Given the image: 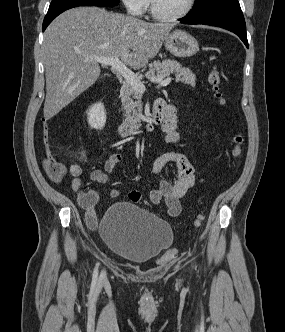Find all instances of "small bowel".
<instances>
[{"instance_id":"1","label":"small bowel","mask_w":285,"mask_h":332,"mask_svg":"<svg viewBox=\"0 0 285 332\" xmlns=\"http://www.w3.org/2000/svg\"><path fill=\"white\" fill-rule=\"evenodd\" d=\"M176 117L172 107H169V116L162 124V130L165 133V139L169 143H178L180 135L176 131ZM122 161L120 154L111 155L105 162L102 169H95L90 173V179L93 182L104 184L108 181L109 176L113 170ZM167 165L174 167V174L176 181L170 182L165 179H160L158 185L152 188L149 192V200L154 205L164 203L167 207L168 214L172 217L178 216L181 212L180 199L194 186V166L192 160L187 158L182 153L171 150L158 156L152 164V172L160 174ZM72 177L71 188L77 193V202L81 209L85 211L86 224L91 229H96L99 224L98 215L94 209L98 194L93 190L84 191L82 173L83 170L80 165L73 164L69 168ZM121 195L119 189H112L110 191L111 198H118ZM129 200L133 203L141 201V193L137 190H132L128 194Z\"/></svg>"}]
</instances>
